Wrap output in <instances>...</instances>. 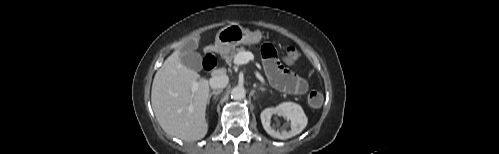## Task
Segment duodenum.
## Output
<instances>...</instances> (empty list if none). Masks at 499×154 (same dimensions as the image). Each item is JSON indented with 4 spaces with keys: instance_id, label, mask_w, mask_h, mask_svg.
<instances>
[{
    "instance_id": "obj_1",
    "label": "duodenum",
    "mask_w": 499,
    "mask_h": 154,
    "mask_svg": "<svg viewBox=\"0 0 499 154\" xmlns=\"http://www.w3.org/2000/svg\"><path fill=\"white\" fill-rule=\"evenodd\" d=\"M211 57H213V58H215V59H216V52H215L214 48H213V49H211V50H209V51L207 52L206 57H205V60H204V63H203L204 69H205L207 72H208V71H210V70H213V69H214V68H213V69H211V68L208 66V64H207V59H208V58H211Z\"/></svg>"
}]
</instances>
